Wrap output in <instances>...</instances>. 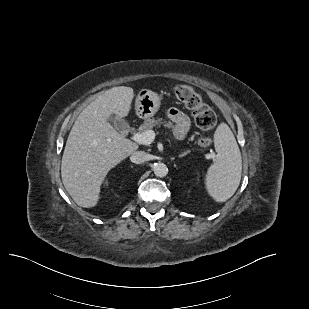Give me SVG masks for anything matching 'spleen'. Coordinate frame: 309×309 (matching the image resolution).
I'll list each match as a JSON object with an SVG mask.
<instances>
[{
  "label": "spleen",
  "mask_w": 309,
  "mask_h": 309,
  "mask_svg": "<svg viewBox=\"0 0 309 309\" xmlns=\"http://www.w3.org/2000/svg\"><path fill=\"white\" fill-rule=\"evenodd\" d=\"M216 159L208 168L205 186L219 203L226 202L236 192L242 173V158L236 139L226 123L218 125L214 134Z\"/></svg>",
  "instance_id": "1"
}]
</instances>
